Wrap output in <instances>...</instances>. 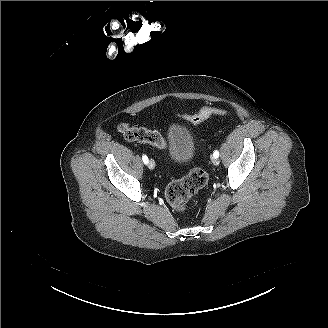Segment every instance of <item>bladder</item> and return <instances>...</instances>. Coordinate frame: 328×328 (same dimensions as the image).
Returning <instances> with one entry per match:
<instances>
[{
	"instance_id": "obj_1",
	"label": "bladder",
	"mask_w": 328,
	"mask_h": 328,
	"mask_svg": "<svg viewBox=\"0 0 328 328\" xmlns=\"http://www.w3.org/2000/svg\"><path fill=\"white\" fill-rule=\"evenodd\" d=\"M171 135L170 148L176 158L188 161L196 155L197 146L195 142L178 125L174 124L171 127Z\"/></svg>"
}]
</instances>
